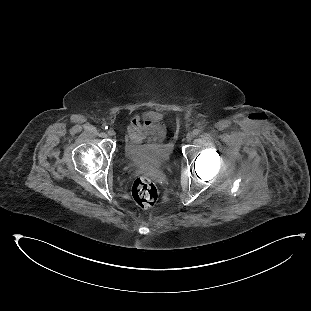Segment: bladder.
I'll return each mask as SVG.
<instances>
[{"mask_svg":"<svg viewBox=\"0 0 311 311\" xmlns=\"http://www.w3.org/2000/svg\"><path fill=\"white\" fill-rule=\"evenodd\" d=\"M172 151V145L167 142L132 146L130 139L126 136L121 145V154L126 162L145 170H156L167 166L172 158Z\"/></svg>","mask_w":311,"mask_h":311,"instance_id":"1","label":"bladder"}]
</instances>
